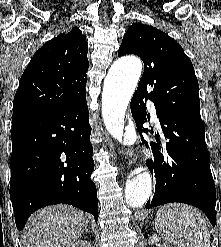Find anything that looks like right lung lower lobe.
Here are the masks:
<instances>
[{
	"instance_id": "98d812e1",
	"label": "right lung lower lobe",
	"mask_w": 221,
	"mask_h": 247,
	"mask_svg": "<svg viewBox=\"0 0 221 247\" xmlns=\"http://www.w3.org/2000/svg\"><path fill=\"white\" fill-rule=\"evenodd\" d=\"M86 97L68 107L12 120L10 197L18 230L29 216L65 203L94 215L97 190Z\"/></svg>"
}]
</instances>
